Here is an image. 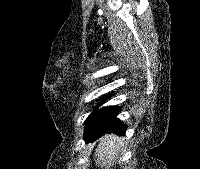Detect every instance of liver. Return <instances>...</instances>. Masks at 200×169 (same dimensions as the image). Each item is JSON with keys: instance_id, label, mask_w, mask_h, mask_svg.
I'll use <instances>...</instances> for the list:
<instances>
[{"instance_id": "6515ba94", "label": "liver", "mask_w": 200, "mask_h": 169, "mask_svg": "<svg viewBox=\"0 0 200 169\" xmlns=\"http://www.w3.org/2000/svg\"><path fill=\"white\" fill-rule=\"evenodd\" d=\"M123 139L114 134H108L100 138L99 145L95 150L96 165L105 169H112L121 155Z\"/></svg>"}]
</instances>
